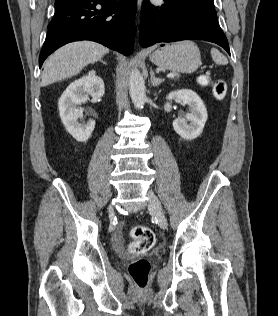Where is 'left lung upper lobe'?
Listing matches in <instances>:
<instances>
[{"label":"left lung upper lobe","mask_w":278,"mask_h":316,"mask_svg":"<svg viewBox=\"0 0 278 316\" xmlns=\"http://www.w3.org/2000/svg\"><path fill=\"white\" fill-rule=\"evenodd\" d=\"M172 1L194 8L210 16H213L217 19L213 0H172Z\"/></svg>","instance_id":"1"}]
</instances>
